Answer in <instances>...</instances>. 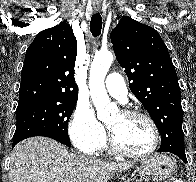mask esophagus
Here are the masks:
<instances>
[{
	"instance_id": "34e87169",
	"label": "esophagus",
	"mask_w": 196,
	"mask_h": 182,
	"mask_svg": "<svg viewBox=\"0 0 196 182\" xmlns=\"http://www.w3.org/2000/svg\"><path fill=\"white\" fill-rule=\"evenodd\" d=\"M100 10V8L99 7H94V11H99Z\"/></svg>"
}]
</instances>
